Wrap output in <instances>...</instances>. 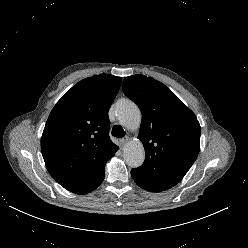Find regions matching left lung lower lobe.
<instances>
[{
	"label": "left lung lower lobe",
	"mask_w": 248,
	"mask_h": 248,
	"mask_svg": "<svg viewBox=\"0 0 248 248\" xmlns=\"http://www.w3.org/2000/svg\"><path fill=\"white\" fill-rule=\"evenodd\" d=\"M131 175H132V178L134 179V181H135V177H134V174L131 172Z\"/></svg>",
	"instance_id": "left-lung-lower-lobe-1"
}]
</instances>
